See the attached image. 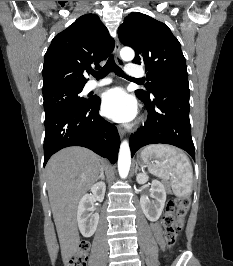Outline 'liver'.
I'll return each instance as SVG.
<instances>
[{"label":"liver","mask_w":233,"mask_h":266,"mask_svg":"<svg viewBox=\"0 0 233 266\" xmlns=\"http://www.w3.org/2000/svg\"><path fill=\"white\" fill-rule=\"evenodd\" d=\"M102 163L91 150L74 146L54 154L46 165L49 201L63 261L79 243L78 202L97 181Z\"/></svg>","instance_id":"6515ba94"}]
</instances>
